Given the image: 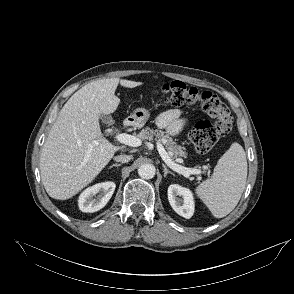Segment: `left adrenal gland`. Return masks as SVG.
Masks as SVG:
<instances>
[{
	"label": "left adrenal gland",
	"instance_id": "obj_1",
	"mask_svg": "<svg viewBox=\"0 0 294 294\" xmlns=\"http://www.w3.org/2000/svg\"><path fill=\"white\" fill-rule=\"evenodd\" d=\"M163 168H164V177H166L167 174L174 175L173 172H171L170 170H168V168L166 167V165L163 164Z\"/></svg>",
	"mask_w": 294,
	"mask_h": 294
}]
</instances>
